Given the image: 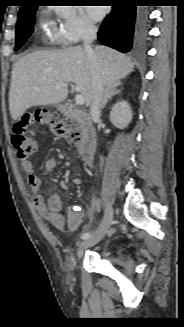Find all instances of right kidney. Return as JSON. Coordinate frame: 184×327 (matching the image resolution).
I'll use <instances>...</instances> for the list:
<instances>
[{
	"mask_svg": "<svg viewBox=\"0 0 184 327\" xmlns=\"http://www.w3.org/2000/svg\"><path fill=\"white\" fill-rule=\"evenodd\" d=\"M132 119V111L127 101L117 102L110 112L111 123L119 128H125Z\"/></svg>",
	"mask_w": 184,
	"mask_h": 327,
	"instance_id": "obj_1",
	"label": "right kidney"
}]
</instances>
